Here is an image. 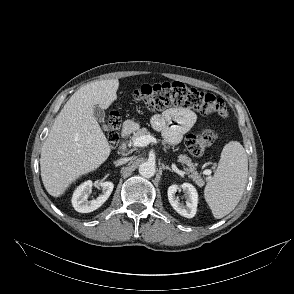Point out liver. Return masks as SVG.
Returning a JSON list of instances; mask_svg holds the SVG:
<instances>
[{
  "label": "liver",
  "instance_id": "6515ba94",
  "mask_svg": "<svg viewBox=\"0 0 294 294\" xmlns=\"http://www.w3.org/2000/svg\"><path fill=\"white\" fill-rule=\"evenodd\" d=\"M118 87V79L86 84L56 117L40 157L41 178L51 196H61L74 181L109 157L111 148L94 117V106L107 109L117 99Z\"/></svg>",
  "mask_w": 294,
  "mask_h": 294
}]
</instances>
